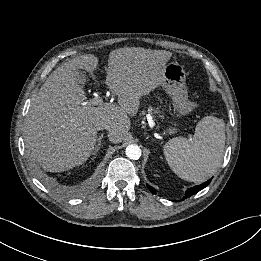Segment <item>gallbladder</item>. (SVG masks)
Wrapping results in <instances>:
<instances>
[{
  "label": "gallbladder",
  "mask_w": 261,
  "mask_h": 261,
  "mask_svg": "<svg viewBox=\"0 0 261 261\" xmlns=\"http://www.w3.org/2000/svg\"><path fill=\"white\" fill-rule=\"evenodd\" d=\"M76 82L82 87L88 82V77L85 72L80 71L77 75Z\"/></svg>",
  "instance_id": "obj_1"
}]
</instances>
